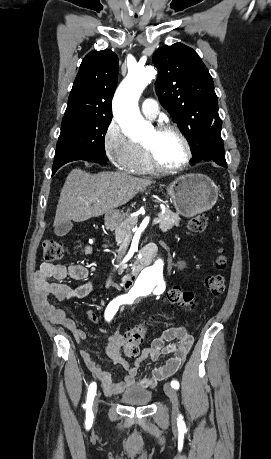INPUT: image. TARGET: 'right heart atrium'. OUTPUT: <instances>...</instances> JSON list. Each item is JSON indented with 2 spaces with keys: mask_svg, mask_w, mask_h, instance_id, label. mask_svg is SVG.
Listing matches in <instances>:
<instances>
[{
  "mask_svg": "<svg viewBox=\"0 0 271 459\" xmlns=\"http://www.w3.org/2000/svg\"><path fill=\"white\" fill-rule=\"evenodd\" d=\"M105 156L118 169H126L133 155V143L115 120H111L102 135Z\"/></svg>",
  "mask_w": 271,
  "mask_h": 459,
  "instance_id": "right-heart-atrium-1",
  "label": "right heart atrium"
}]
</instances>
